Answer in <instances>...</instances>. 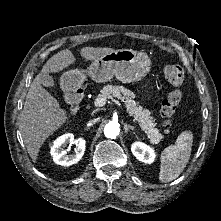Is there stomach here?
Wrapping results in <instances>:
<instances>
[{
    "instance_id": "stomach-1",
    "label": "stomach",
    "mask_w": 221,
    "mask_h": 221,
    "mask_svg": "<svg viewBox=\"0 0 221 221\" xmlns=\"http://www.w3.org/2000/svg\"><path fill=\"white\" fill-rule=\"evenodd\" d=\"M151 69V60L145 52L119 49L96 58L88 68V75L98 83L116 77L122 83L139 81ZM62 80L71 86H80L85 80V71L72 69L65 72Z\"/></svg>"
}]
</instances>
